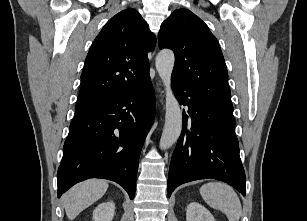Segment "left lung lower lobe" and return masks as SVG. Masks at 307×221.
I'll list each match as a JSON object with an SVG mask.
<instances>
[{"instance_id": "0a47b994", "label": "left lung lower lobe", "mask_w": 307, "mask_h": 221, "mask_svg": "<svg viewBox=\"0 0 307 221\" xmlns=\"http://www.w3.org/2000/svg\"><path fill=\"white\" fill-rule=\"evenodd\" d=\"M172 88L178 101L188 106L190 120L183 109V130L170 163L168 196L183 183L206 178L224 181L245 196L234 116L195 96L173 77Z\"/></svg>"}]
</instances>
